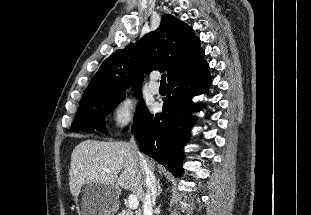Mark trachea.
Segmentation results:
<instances>
[{"label":"trachea","mask_w":311,"mask_h":215,"mask_svg":"<svg viewBox=\"0 0 311 215\" xmlns=\"http://www.w3.org/2000/svg\"><path fill=\"white\" fill-rule=\"evenodd\" d=\"M161 85H166V74H162L161 76Z\"/></svg>","instance_id":"obj_1"}]
</instances>
